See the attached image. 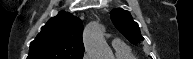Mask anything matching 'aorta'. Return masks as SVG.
<instances>
[{
	"mask_svg": "<svg viewBox=\"0 0 193 59\" xmlns=\"http://www.w3.org/2000/svg\"><path fill=\"white\" fill-rule=\"evenodd\" d=\"M85 49L91 57L109 59L111 52L106 44L101 28L98 23L88 24L84 31Z\"/></svg>",
	"mask_w": 193,
	"mask_h": 59,
	"instance_id": "aorta-1",
	"label": "aorta"
}]
</instances>
